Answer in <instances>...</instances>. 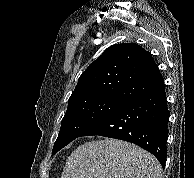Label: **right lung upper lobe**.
I'll return each instance as SVG.
<instances>
[{
    "mask_svg": "<svg viewBox=\"0 0 194 178\" xmlns=\"http://www.w3.org/2000/svg\"><path fill=\"white\" fill-rule=\"evenodd\" d=\"M163 86L149 52L136 43L115 44L82 73L69 102L97 97L128 101Z\"/></svg>",
    "mask_w": 194,
    "mask_h": 178,
    "instance_id": "1",
    "label": "right lung upper lobe"
}]
</instances>
